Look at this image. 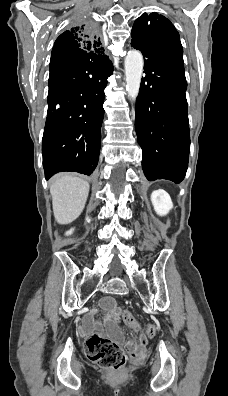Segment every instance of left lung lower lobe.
<instances>
[{
  "mask_svg": "<svg viewBox=\"0 0 228 396\" xmlns=\"http://www.w3.org/2000/svg\"><path fill=\"white\" fill-rule=\"evenodd\" d=\"M131 45L144 56V73L136 100L135 129L142 167L149 181L180 183L186 174L190 134L183 63L152 46Z\"/></svg>",
  "mask_w": 228,
  "mask_h": 396,
  "instance_id": "left-lung-lower-lobe-1",
  "label": "left lung lower lobe"
}]
</instances>
